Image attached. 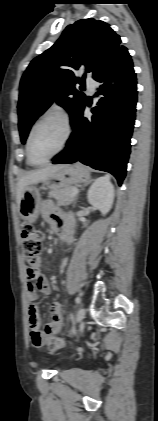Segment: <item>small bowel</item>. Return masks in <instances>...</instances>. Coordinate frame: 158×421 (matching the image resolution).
<instances>
[{
    "instance_id": "small-bowel-1",
    "label": "small bowel",
    "mask_w": 158,
    "mask_h": 421,
    "mask_svg": "<svg viewBox=\"0 0 158 421\" xmlns=\"http://www.w3.org/2000/svg\"><path fill=\"white\" fill-rule=\"evenodd\" d=\"M42 215L44 220L50 224L54 232L60 234L66 243L70 244L73 241L74 221L70 214L58 210L52 202L46 201L42 206ZM67 260H63L61 269L65 267ZM39 259L33 266H27L26 276L27 282V299L29 301L28 319L31 330V337L34 345L41 346L44 340L51 335L59 333L63 326V313L58 302L50 304L51 320L45 325L43 329L40 327V317L35 300L39 293L48 294L50 286L48 279L39 271ZM38 334L41 337L39 344L35 343L34 335Z\"/></svg>"
}]
</instances>
